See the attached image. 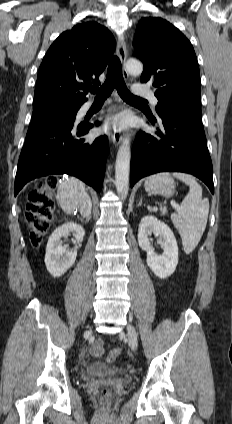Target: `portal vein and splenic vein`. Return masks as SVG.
Returning <instances> with one entry per match:
<instances>
[{
	"label": "portal vein and splenic vein",
	"instance_id": "1",
	"mask_svg": "<svg viewBox=\"0 0 232 424\" xmlns=\"http://www.w3.org/2000/svg\"><path fill=\"white\" fill-rule=\"evenodd\" d=\"M171 205L176 210H179L180 209L179 205L176 202H174V201H171Z\"/></svg>",
	"mask_w": 232,
	"mask_h": 424
}]
</instances>
